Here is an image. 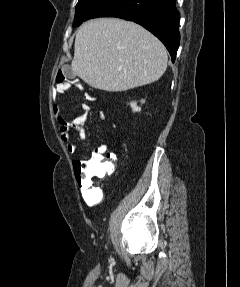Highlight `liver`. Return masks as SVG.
<instances>
[{"mask_svg": "<svg viewBox=\"0 0 240 287\" xmlns=\"http://www.w3.org/2000/svg\"><path fill=\"white\" fill-rule=\"evenodd\" d=\"M167 60L164 45L142 26L100 18L80 27L71 70L95 89L119 92L157 81Z\"/></svg>", "mask_w": 240, "mask_h": 287, "instance_id": "obj_1", "label": "liver"}]
</instances>
